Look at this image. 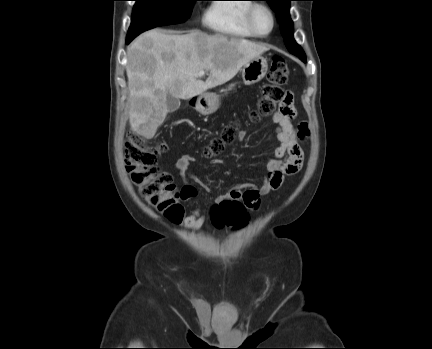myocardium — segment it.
<instances>
[{
    "mask_svg": "<svg viewBox=\"0 0 432 349\" xmlns=\"http://www.w3.org/2000/svg\"><path fill=\"white\" fill-rule=\"evenodd\" d=\"M259 9H263L265 11L268 12V14L270 15L271 18V28L267 33H260L254 23V16L257 10ZM245 22H246V26L247 28L250 30V32L258 38H266L268 37L273 30L275 29L276 26V16L274 11L271 9V7H269L267 4L265 3H253L251 4L246 12V16H245Z\"/></svg>",
    "mask_w": 432,
    "mask_h": 349,
    "instance_id": "f54148a6",
    "label": "myocardium"
}]
</instances>
